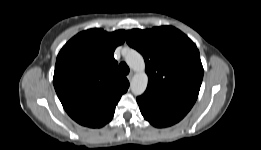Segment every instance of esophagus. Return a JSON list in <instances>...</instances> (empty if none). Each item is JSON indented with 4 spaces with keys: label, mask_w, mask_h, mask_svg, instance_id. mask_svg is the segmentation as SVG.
Returning a JSON list of instances; mask_svg holds the SVG:
<instances>
[{
    "label": "esophagus",
    "mask_w": 261,
    "mask_h": 150,
    "mask_svg": "<svg viewBox=\"0 0 261 150\" xmlns=\"http://www.w3.org/2000/svg\"><path fill=\"white\" fill-rule=\"evenodd\" d=\"M133 76H134V72L132 71V72H130V73L127 75V79H128L129 81H131L132 78H133Z\"/></svg>",
    "instance_id": "esophagus-1"
}]
</instances>
